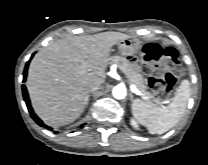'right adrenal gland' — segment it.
<instances>
[{
	"instance_id": "2a0ac1e0",
	"label": "right adrenal gland",
	"mask_w": 208,
	"mask_h": 165,
	"mask_svg": "<svg viewBox=\"0 0 208 165\" xmlns=\"http://www.w3.org/2000/svg\"><path fill=\"white\" fill-rule=\"evenodd\" d=\"M90 95L87 96L86 105L88 104Z\"/></svg>"
}]
</instances>
